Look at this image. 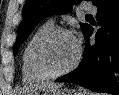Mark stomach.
<instances>
[{"mask_svg":"<svg viewBox=\"0 0 119 95\" xmlns=\"http://www.w3.org/2000/svg\"><path fill=\"white\" fill-rule=\"evenodd\" d=\"M28 95H85V93L75 90V89H46V90H37L29 93Z\"/></svg>","mask_w":119,"mask_h":95,"instance_id":"1","label":"stomach"}]
</instances>
